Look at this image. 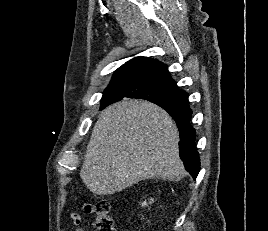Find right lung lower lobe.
<instances>
[{"instance_id":"1","label":"right lung lower lobe","mask_w":268,"mask_h":231,"mask_svg":"<svg viewBox=\"0 0 268 231\" xmlns=\"http://www.w3.org/2000/svg\"><path fill=\"white\" fill-rule=\"evenodd\" d=\"M164 108L175 120L180 133L179 151L185 169L196 179L200 161L195 145V130L190 125L192 111L187 106H166Z\"/></svg>"}]
</instances>
